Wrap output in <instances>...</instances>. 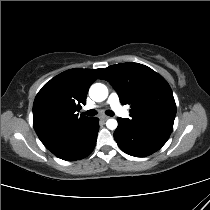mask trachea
I'll return each mask as SVG.
<instances>
[{
	"label": "trachea",
	"instance_id": "1",
	"mask_svg": "<svg viewBox=\"0 0 210 210\" xmlns=\"http://www.w3.org/2000/svg\"><path fill=\"white\" fill-rule=\"evenodd\" d=\"M105 113L108 116H114V112L112 110H107ZM84 114H86L88 116H94L97 114V112H96V110L91 109V110L86 111Z\"/></svg>",
	"mask_w": 210,
	"mask_h": 210
}]
</instances>
